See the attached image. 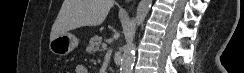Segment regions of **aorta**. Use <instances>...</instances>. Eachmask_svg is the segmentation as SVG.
I'll use <instances>...</instances> for the list:
<instances>
[{
    "mask_svg": "<svg viewBox=\"0 0 244 73\" xmlns=\"http://www.w3.org/2000/svg\"><path fill=\"white\" fill-rule=\"evenodd\" d=\"M152 6V0H141L137 6L135 24L143 25ZM135 58V44L133 39L129 40L124 47V53L121 59V73H131Z\"/></svg>",
    "mask_w": 244,
    "mask_h": 73,
    "instance_id": "aorta-1",
    "label": "aorta"
}]
</instances>
